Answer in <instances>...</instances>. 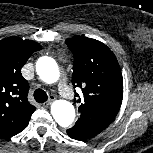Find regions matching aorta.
<instances>
[{"instance_id": "aorta-1", "label": "aorta", "mask_w": 153, "mask_h": 153, "mask_svg": "<svg viewBox=\"0 0 153 153\" xmlns=\"http://www.w3.org/2000/svg\"><path fill=\"white\" fill-rule=\"evenodd\" d=\"M39 77L46 83H53L59 78V67L51 57H41L36 63ZM51 114L61 127L70 126L75 118L74 106L66 100H57L51 105Z\"/></svg>"}]
</instances>
